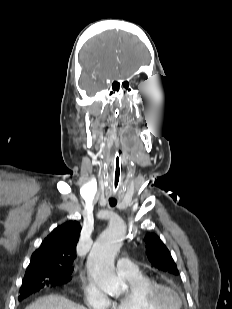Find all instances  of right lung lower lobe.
<instances>
[{"mask_svg": "<svg viewBox=\"0 0 232 309\" xmlns=\"http://www.w3.org/2000/svg\"><path fill=\"white\" fill-rule=\"evenodd\" d=\"M24 293H26V294L24 295L23 299L27 298L28 296H30L31 294H33V293H35V292L32 291V290H29V291H24ZM23 299H22V300H23ZM20 301H21V300H20Z\"/></svg>", "mask_w": 232, "mask_h": 309, "instance_id": "obj_1", "label": "right lung lower lobe"}]
</instances>
